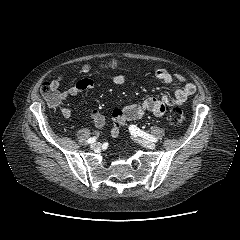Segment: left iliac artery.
I'll return each instance as SVG.
<instances>
[{
  "label": "left iliac artery",
  "instance_id": "left-iliac-artery-1",
  "mask_svg": "<svg viewBox=\"0 0 240 240\" xmlns=\"http://www.w3.org/2000/svg\"><path fill=\"white\" fill-rule=\"evenodd\" d=\"M129 130H130L131 135H133V136H140V137L145 138V139H147L149 141H152V142H157L158 141L157 138H155L154 136L140 130L135 125H130Z\"/></svg>",
  "mask_w": 240,
  "mask_h": 240
}]
</instances>
